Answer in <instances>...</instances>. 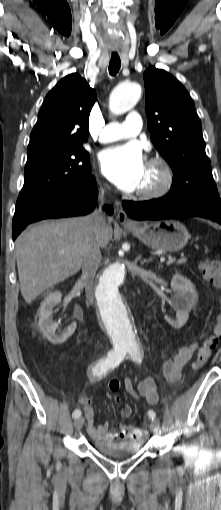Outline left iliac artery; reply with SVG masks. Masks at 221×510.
I'll return each instance as SVG.
<instances>
[{
	"mask_svg": "<svg viewBox=\"0 0 221 510\" xmlns=\"http://www.w3.org/2000/svg\"><path fill=\"white\" fill-rule=\"evenodd\" d=\"M129 354L131 355L134 361L138 363L142 361V353L137 346L132 347V349L129 351ZM148 416L153 420L156 418V413L153 410H149Z\"/></svg>",
	"mask_w": 221,
	"mask_h": 510,
	"instance_id": "1",
	"label": "left iliac artery"
}]
</instances>
